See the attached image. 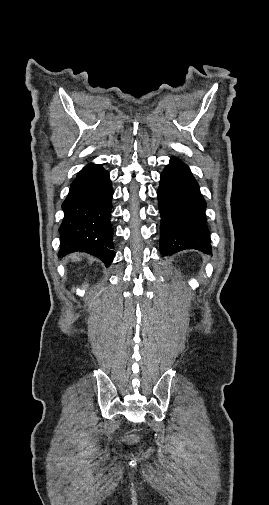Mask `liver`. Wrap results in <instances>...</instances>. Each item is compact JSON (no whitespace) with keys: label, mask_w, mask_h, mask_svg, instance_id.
Returning <instances> with one entry per match:
<instances>
[{"label":"liver","mask_w":269,"mask_h":505,"mask_svg":"<svg viewBox=\"0 0 269 505\" xmlns=\"http://www.w3.org/2000/svg\"><path fill=\"white\" fill-rule=\"evenodd\" d=\"M70 258L72 259V261H79L80 260V257L77 256L76 254L71 255Z\"/></svg>","instance_id":"6515ba94"}]
</instances>
